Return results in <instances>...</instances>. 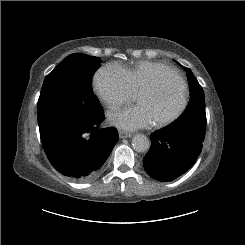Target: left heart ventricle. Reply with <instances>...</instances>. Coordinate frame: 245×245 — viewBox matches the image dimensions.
Listing matches in <instances>:
<instances>
[{"label": "left heart ventricle", "instance_id": "left-heart-ventricle-1", "mask_svg": "<svg viewBox=\"0 0 245 245\" xmlns=\"http://www.w3.org/2000/svg\"><path fill=\"white\" fill-rule=\"evenodd\" d=\"M155 83L161 86V91L141 93L137 96V102L148 108L156 122L175 113L183 99L181 86L173 75L158 77Z\"/></svg>", "mask_w": 245, "mask_h": 245}]
</instances>
